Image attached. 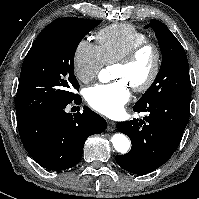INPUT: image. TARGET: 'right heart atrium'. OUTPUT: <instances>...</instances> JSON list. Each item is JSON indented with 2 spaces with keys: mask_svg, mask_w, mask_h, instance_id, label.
I'll return each instance as SVG.
<instances>
[{
  "mask_svg": "<svg viewBox=\"0 0 199 199\" xmlns=\"http://www.w3.org/2000/svg\"><path fill=\"white\" fill-rule=\"evenodd\" d=\"M104 66L99 47L87 40H81L73 55L75 76L83 83L95 79Z\"/></svg>",
  "mask_w": 199,
  "mask_h": 199,
  "instance_id": "right-heart-atrium-1",
  "label": "right heart atrium"
}]
</instances>
